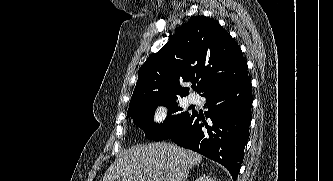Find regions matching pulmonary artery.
Wrapping results in <instances>:
<instances>
[{"mask_svg":"<svg viewBox=\"0 0 333 181\" xmlns=\"http://www.w3.org/2000/svg\"><path fill=\"white\" fill-rule=\"evenodd\" d=\"M188 100H189V102H191V103H195V102H197L198 98H197V96H196L195 94H190V95L188 96Z\"/></svg>","mask_w":333,"mask_h":181,"instance_id":"1","label":"pulmonary artery"}]
</instances>
